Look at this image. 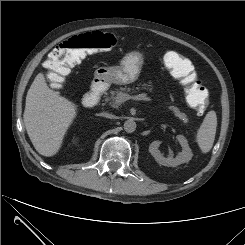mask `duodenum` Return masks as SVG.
Returning a JSON list of instances; mask_svg holds the SVG:
<instances>
[{"label":"duodenum","mask_w":245,"mask_h":245,"mask_svg":"<svg viewBox=\"0 0 245 245\" xmlns=\"http://www.w3.org/2000/svg\"><path fill=\"white\" fill-rule=\"evenodd\" d=\"M104 91V87L101 81H95L89 92H87L83 99L82 103L85 107H93L97 104V102L100 100L102 94Z\"/></svg>","instance_id":"duodenum-1"}]
</instances>
